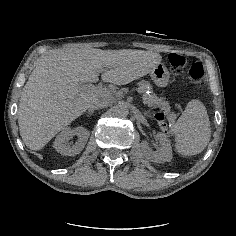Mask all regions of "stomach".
Masks as SVG:
<instances>
[{"label": "stomach", "instance_id": "0dacf381", "mask_svg": "<svg viewBox=\"0 0 236 236\" xmlns=\"http://www.w3.org/2000/svg\"><path fill=\"white\" fill-rule=\"evenodd\" d=\"M169 77V71L163 64L157 65L151 73L153 82L159 87H165L169 81Z\"/></svg>", "mask_w": 236, "mask_h": 236}]
</instances>
